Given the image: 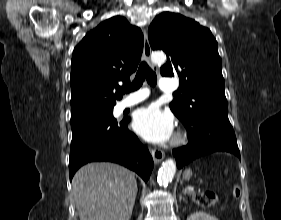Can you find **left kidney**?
Returning a JSON list of instances; mask_svg holds the SVG:
<instances>
[{
  "label": "left kidney",
  "instance_id": "5707ae66",
  "mask_svg": "<svg viewBox=\"0 0 281 220\" xmlns=\"http://www.w3.org/2000/svg\"><path fill=\"white\" fill-rule=\"evenodd\" d=\"M187 220H218L216 217L209 215L205 212L199 211L191 214Z\"/></svg>",
  "mask_w": 281,
  "mask_h": 220
}]
</instances>
